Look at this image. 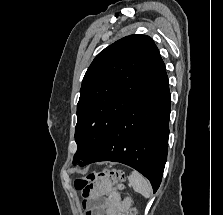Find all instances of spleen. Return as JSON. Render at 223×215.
I'll return each mask as SVG.
<instances>
[{
	"label": "spleen",
	"mask_w": 223,
	"mask_h": 215,
	"mask_svg": "<svg viewBox=\"0 0 223 215\" xmlns=\"http://www.w3.org/2000/svg\"><path fill=\"white\" fill-rule=\"evenodd\" d=\"M129 181L135 191H139L144 197H149L151 193V185L141 173H138V171H131Z\"/></svg>",
	"instance_id": "obj_1"
}]
</instances>
